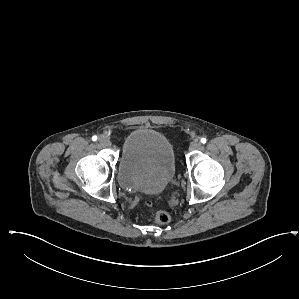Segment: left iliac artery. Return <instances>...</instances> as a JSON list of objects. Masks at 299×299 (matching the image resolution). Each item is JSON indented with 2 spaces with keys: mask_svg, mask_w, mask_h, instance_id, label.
<instances>
[{
  "mask_svg": "<svg viewBox=\"0 0 299 299\" xmlns=\"http://www.w3.org/2000/svg\"><path fill=\"white\" fill-rule=\"evenodd\" d=\"M206 141H207V139H206V138H204V137H203V138H201V140H200V142H201V143H203V144H205V143H206Z\"/></svg>",
  "mask_w": 299,
  "mask_h": 299,
  "instance_id": "1",
  "label": "left iliac artery"
}]
</instances>
